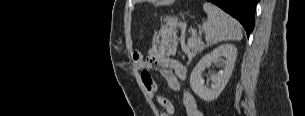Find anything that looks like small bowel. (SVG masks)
<instances>
[{"mask_svg": "<svg viewBox=\"0 0 305 116\" xmlns=\"http://www.w3.org/2000/svg\"><path fill=\"white\" fill-rule=\"evenodd\" d=\"M133 59L135 67L142 70L141 78L147 93L164 110L161 116H173L175 108L172 102L168 98L157 94V84L150 74L149 79H146L143 74L150 69L156 68L166 80L168 87L172 91H178L180 89V80H185L187 77L186 66L180 61L167 56L157 44L151 46L146 56L139 51L134 52ZM182 104L186 116H203L202 111L199 109L198 104L190 91L185 90L183 92Z\"/></svg>", "mask_w": 305, "mask_h": 116, "instance_id": "c3829d8e", "label": "small bowel"}]
</instances>
